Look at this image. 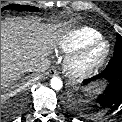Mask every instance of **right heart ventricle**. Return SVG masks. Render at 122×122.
I'll return each mask as SVG.
<instances>
[{"label":"right heart ventricle","instance_id":"e07e8e85","mask_svg":"<svg viewBox=\"0 0 122 122\" xmlns=\"http://www.w3.org/2000/svg\"><path fill=\"white\" fill-rule=\"evenodd\" d=\"M102 37L96 29L88 26L66 32L59 40V48L64 53H72Z\"/></svg>","mask_w":122,"mask_h":122}]
</instances>
